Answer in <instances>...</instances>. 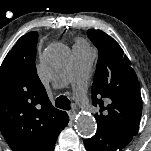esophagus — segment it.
<instances>
[{
  "label": "esophagus",
  "instance_id": "esophagus-1",
  "mask_svg": "<svg viewBox=\"0 0 151 151\" xmlns=\"http://www.w3.org/2000/svg\"><path fill=\"white\" fill-rule=\"evenodd\" d=\"M69 117L71 120H74V118L76 117V111L74 109L69 111Z\"/></svg>",
  "mask_w": 151,
  "mask_h": 151
}]
</instances>
